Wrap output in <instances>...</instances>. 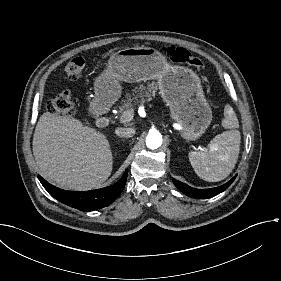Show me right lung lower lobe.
I'll return each mask as SVG.
<instances>
[{
	"label": "right lung lower lobe",
	"instance_id": "98d812e1",
	"mask_svg": "<svg viewBox=\"0 0 281 281\" xmlns=\"http://www.w3.org/2000/svg\"><path fill=\"white\" fill-rule=\"evenodd\" d=\"M38 178L47 192L58 201L81 211H91L108 206L120 195L126 183L127 171L114 185L80 192L62 190L49 184L41 176H38Z\"/></svg>",
	"mask_w": 281,
	"mask_h": 281
}]
</instances>
